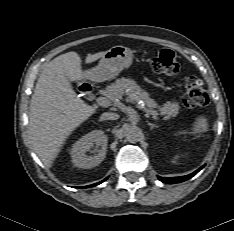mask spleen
<instances>
[{
    "label": "spleen",
    "instance_id": "3e777b00",
    "mask_svg": "<svg viewBox=\"0 0 234 231\" xmlns=\"http://www.w3.org/2000/svg\"><path fill=\"white\" fill-rule=\"evenodd\" d=\"M208 130V122L204 116H199L195 123L192 134H200L202 132H206ZM185 133V132H180Z\"/></svg>",
    "mask_w": 234,
    "mask_h": 231
}]
</instances>
